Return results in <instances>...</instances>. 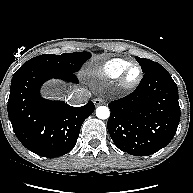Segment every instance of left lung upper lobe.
Returning a JSON list of instances; mask_svg holds the SVG:
<instances>
[{"instance_id": "obj_1", "label": "left lung upper lobe", "mask_w": 193, "mask_h": 193, "mask_svg": "<svg viewBox=\"0 0 193 193\" xmlns=\"http://www.w3.org/2000/svg\"><path fill=\"white\" fill-rule=\"evenodd\" d=\"M135 58L138 61V63L141 65L143 73L149 71L150 69H152L158 65L157 62H154V61L149 60V59L139 58V57H135Z\"/></svg>"}]
</instances>
